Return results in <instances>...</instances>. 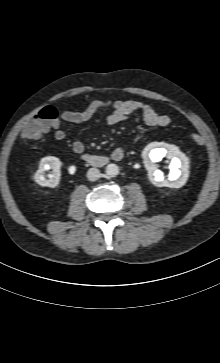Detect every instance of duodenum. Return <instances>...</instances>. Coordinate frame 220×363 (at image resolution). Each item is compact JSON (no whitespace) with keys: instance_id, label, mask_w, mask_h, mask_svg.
<instances>
[{"instance_id":"1","label":"duodenum","mask_w":220,"mask_h":363,"mask_svg":"<svg viewBox=\"0 0 220 363\" xmlns=\"http://www.w3.org/2000/svg\"><path fill=\"white\" fill-rule=\"evenodd\" d=\"M123 151L122 150H118L115 153H113L111 155V157H105L102 155H96V154H83L82 155V159L95 167H103L105 166L109 160H114V161H119L123 158Z\"/></svg>"}]
</instances>
